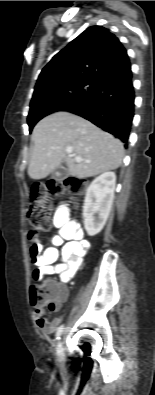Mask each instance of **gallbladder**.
<instances>
[{"label":"gallbladder","instance_id":"gallbladder-1","mask_svg":"<svg viewBox=\"0 0 155 395\" xmlns=\"http://www.w3.org/2000/svg\"><path fill=\"white\" fill-rule=\"evenodd\" d=\"M51 175H52V178L55 180H63L69 176V172H68L67 167H65L64 165H61L57 169H55Z\"/></svg>","mask_w":155,"mask_h":395}]
</instances>
